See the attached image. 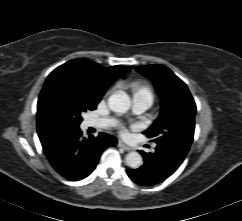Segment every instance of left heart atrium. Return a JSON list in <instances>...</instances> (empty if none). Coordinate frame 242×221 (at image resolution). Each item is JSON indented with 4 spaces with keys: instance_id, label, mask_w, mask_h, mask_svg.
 <instances>
[{
    "instance_id": "left-heart-atrium-1",
    "label": "left heart atrium",
    "mask_w": 242,
    "mask_h": 221,
    "mask_svg": "<svg viewBox=\"0 0 242 221\" xmlns=\"http://www.w3.org/2000/svg\"><path fill=\"white\" fill-rule=\"evenodd\" d=\"M122 132H123V133L125 132L124 129H122Z\"/></svg>"
}]
</instances>
